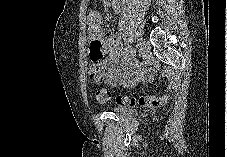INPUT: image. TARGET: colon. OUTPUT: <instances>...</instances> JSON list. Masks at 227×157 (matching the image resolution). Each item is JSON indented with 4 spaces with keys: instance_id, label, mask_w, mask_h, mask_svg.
<instances>
[{
    "instance_id": "5ec220e1",
    "label": "colon",
    "mask_w": 227,
    "mask_h": 157,
    "mask_svg": "<svg viewBox=\"0 0 227 157\" xmlns=\"http://www.w3.org/2000/svg\"><path fill=\"white\" fill-rule=\"evenodd\" d=\"M102 67L100 63L96 62L90 67L91 77H97L102 73ZM95 98L98 103H106L111 98V93L106 88H99L95 93ZM167 101V96H155V95H142L139 97L117 95L115 97V103L120 106L129 107H160Z\"/></svg>"
}]
</instances>
